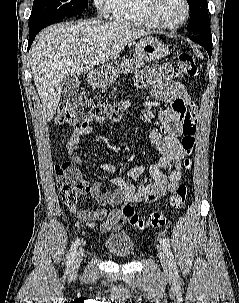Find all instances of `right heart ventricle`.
<instances>
[{"instance_id":"e07e8e85","label":"right heart ventricle","mask_w":239,"mask_h":303,"mask_svg":"<svg viewBox=\"0 0 239 303\" xmlns=\"http://www.w3.org/2000/svg\"><path fill=\"white\" fill-rule=\"evenodd\" d=\"M144 0H115L112 19L146 29H156L143 9Z\"/></svg>"}]
</instances>
